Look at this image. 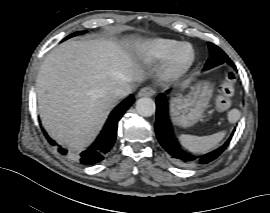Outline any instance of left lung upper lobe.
Instances as JSON below:
<instances>
[{
  "label": "left lung upper lobe",
  "mask_w": 270,
  "mask_h": 213,
  "mask_svg": "<svg viewBox=\"0 0 270 213\" xmlns=\"http://www.w3.org/2000/svg\"><path fill=\"white\" fill-rule=\"evenodd\" d=\"M208 46H209V51H210V57L208 58L204 66V70H208L210 68L223 64L225 62L230 64L231 66L234 65V63L225 54V52L221 50L218 46L212 43H208Z\"/></svg>",
  "instance_id": "left-lung-upper-lobe-1"
}]
</instances>
